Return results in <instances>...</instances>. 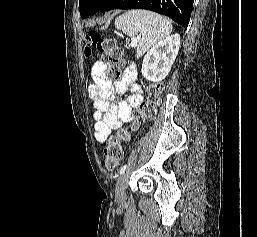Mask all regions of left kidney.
<instances>
[{
    "instance_id": "left-kidney-1",
    "label": "left kidney",
    "mask_w": 257,
    "mask_h": 237,
    "mask_svg": "<svg viewBox=\"0 0 257 237\" xmlns=\"http://www.w3.org/2000/svg\"><path fill=\"white\" fill-rule=\"evenodd\" d=\"M180 47V35L174 34L153 47L144 57L141 72L153 82L162 81L169 73Z\"/></svg>"
}]
</instances>
